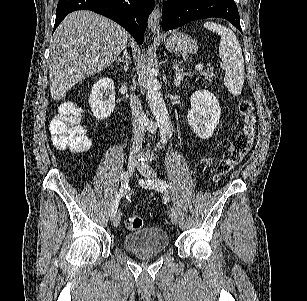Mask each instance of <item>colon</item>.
Masks as SVG:
<instances>
[{"label": "colon", "mask_w": 307, "mask_h": 301, "mask_svg": "<svg viewBox=\"0 0 307 301\" xmlns=\"http://www.w3.org/2000/svg\"><path fill=\"white\" fill-rule=\"evenodd\" d=\"M239 111L245 120V124L224 151L217 171L212 178L214 183H217L221 177L238 165L253 146L255 117L252 102L249 99L241 100ZM50 130L53 143L57 148L81 151L87 149L91 144L90 138L80 124V111L73 103H66L60 108L59 113L51 121ZM124 226L129 231L138 230L143 226V219L138 215H128L125 218Z\"/></svg>", "instance_id": "colon-1"}]
</instances>
